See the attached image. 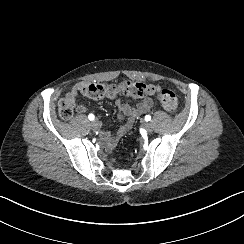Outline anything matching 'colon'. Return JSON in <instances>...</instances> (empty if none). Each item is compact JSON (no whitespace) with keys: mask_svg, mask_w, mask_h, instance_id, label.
<instances>
[{"mask_svg":"<svg viewBox=\"0 0 244 244\" xmlns=\"http://www.w3.org/2000/svg\"><path fill=\"white\" fill-rule=\"evenodd\" d=\"M117 93L125 94L136 100L154 95L166 111L174 113L178 108L177 97L170 89L138 81L123 80L113 84L91 82L82 88V95L92 100L109 98ZM74 110L73 98H66L60 101L58 112L63 119L71 118Z\"/></svg>","mask_w":244,"mask_h":244,"instance_id":"colon-1","label":"colon"}]
</instances>
